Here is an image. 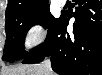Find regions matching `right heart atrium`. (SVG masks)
<instances>
[{
    "label": "right heart atrium",
    "instance_id": "d8ad5b80",
    "mask_svg": "<svg viewBox=\"0 0 102 75\" xmlns=\"http://www.w3.org/2000/svg\"><path fill=\"white\" fill-rule=\"evenodd\" d=\"M46 27L41 22H33L27 26L23 35L25 48L31 49L46 38Z\"/></svg>",
    "mask_w": 102,
    "mask_h": 75
}]
</instances>
